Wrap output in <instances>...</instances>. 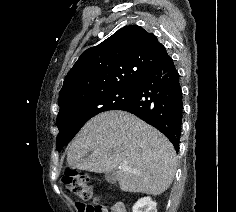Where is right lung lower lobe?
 <instances>
[{"label":"right lung lower lobe","mask_w":236,"mask_h":212,"mask_svg":"<svg viewBox=\"0 0 236 212\" xmlns=\"http://www.w3.org/2000/svg\"><path fill=\"white\" fill-rule=\"evenodd\" d=\"M116 110L130 112L159 129L179 149L183 102L179 74L166 53L137 85L135 95Z\"/></svg>","instance_id":"1"}]
</instances>
